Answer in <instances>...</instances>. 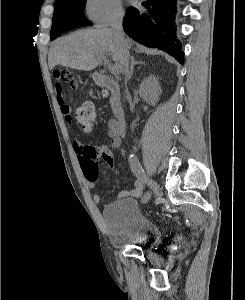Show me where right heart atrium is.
<instances>
[{"label": "right heart atrium", "instance_id": "d8ad5b80", "mask_svg": "<svg viewBox=\"0 0 245 300\" xmlns=\"http://www.w3.org/2000/svg\"><path fill=\"white\" fill-rule=\"evenodd\" d=\"M84 16L99 26L120 20L124 14L122 0H85Z\"/></svg>", "mask_w": 245, "mask_h": 300}]
</instances>
